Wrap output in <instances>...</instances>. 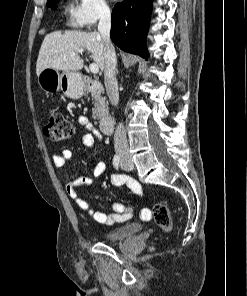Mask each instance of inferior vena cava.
Here are the masks:
<instances>
[{
    "label": "inferior vena cava",
    "instance_id": "1",
    "mask_svg": "<svg viewBox=\"0 0 247 296\" xmlns=\"http://www.w3.org/2000/svg\"><path fill=\"white\" fill-rule=\"evenodd\" d=\"M111 13L108 7H103L100 12L98 31L104 44V83L107 95L112 105L119 103L118 83L115 75L116 53L110 40ZM114 146L117 152L128 151V141L123 123H119L114 134Z\"/></svg>",
    "mask_w": 247,
    "mask_h": 296
}]
</instances>
